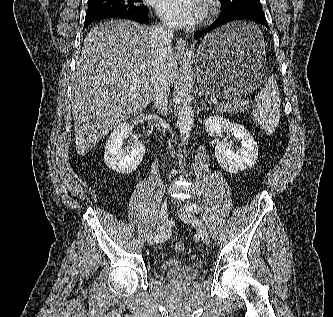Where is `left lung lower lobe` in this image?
<instances>
[{
    "mask_svg": "<svg viewBox=\"0 0 333 317\" xmlns=\"http://www.w3.org/2000/svg\"><path fill=\"white\" fill-rule=\"evenodd\" d=\"M237 20H252L257 23H260L264 25L265 27H268L267 20L265 18V14L260 7H246V8H240L237 10H232L228 12H221V14L218 16V18L206 29L202 31H198L194 34V38L198 39L202 35L212 31L215 28H219L229 22L237 21Z\"/></svg>",
    "mask_w": 333,
    "mask_h": 317,
    "instance_id": "1",
    "label": "left lung lower lobe"
}]
</instances>
